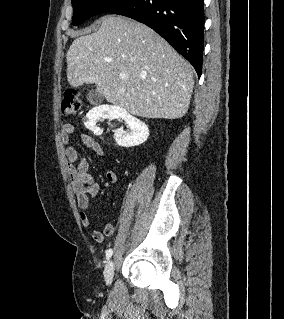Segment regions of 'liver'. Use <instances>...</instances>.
<instances>
[{
    "instance_id": "liver-1",
    "label": "liver",
    "mask_w": 284,
    "mask_h": 319,
    "mask_svg": "<svg viewBox=\"0 0 284 319\" xmlns=\"http://www.w3.org/2000/svg\"><path fill=\"white\" fill-rule=\"evenodd\" d=\"M66 59L72 87L95 84L108 102L131 114L176 119L188 110L194 86L191 65L142 23L105 16L96 32L73 41Z\"/></svg>"
}]
</instances>
